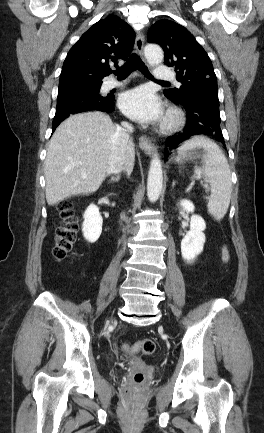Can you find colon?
<instances>
[{
    "label": "colon",
    "mask_w": 264,
    "mask_h": 433,
    "mask_svg": "<svg viewBox=\"0 0 264 433\" xmlns=\"http://www.w3.org/2000/svg\"><path fill=\"white\" fill-rule=\"evenodd\" d=\"M60 225L56 231L53 255L56 260H63L73 249L78 234V220L75 216L73 205L69 201H62L57 207ZM222 260L230 261V251L226 245L222 247ZM128 353L152 354L155 343L151 339H143L135 343H127L123 346Z\"/></svg>",
    "instance_id": "obj_1"
}]
</instances>
